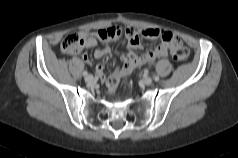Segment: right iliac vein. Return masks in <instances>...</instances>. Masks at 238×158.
<instances>
[{
  "instance_id": "1",
  "label": "right iliac vein",
  "mask_w": 238,
  "mask_h": 158,
  "mask_svg": "<svg viewBox=\"0 0 238 158\" xmlns=\"http://www.w3.org/2000/svg\"><path fill=\"white\" fill-rule=\"evenodd\" d=\"M93 80H94V78H93L92 75H87V76L85 77V81H86L87 83H92Z\"/></svg>"
}]
</instances>
